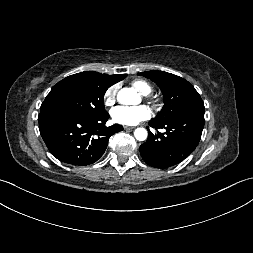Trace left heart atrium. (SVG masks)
Returning a JSON list of instances; mask_svg holds the SVG:
<instances>
[{"instance_id":"1","label":"left heart atrium","mask_w":253,"mask_h":253,"mask_svg":"<svg viewBox=\"0 0 253 253\" xmlns=\"http://www.w3.org/2000/svg\"><path fill=\"white\" fill-rule=\"evenodd\" d=\"M114 122L122 125H136L151 117V109L140 105L135 107L118 106L111 112Z\"/></svg>"}]
</instances>
